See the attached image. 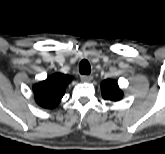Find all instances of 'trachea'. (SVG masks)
I'll list each match as a JSON object with an SVG mask.
<instances>
[{
	"mask_svg": "<svg viewBox=\"0 0 165 154\" xmlns=\"http://www.w3.org/2000/svg\"><path fill=\"white\" fill-rule=\"evenodd\" d=\"M79 71L83 75H89L91 72V67L89 62L86 59L81 60L79 64Z\"/></svg>",
	"mask_w": 165,
	"mask_h": 154,
	"instance_id": "3493384b",
	"label": "trachea"
}]
</instances>
